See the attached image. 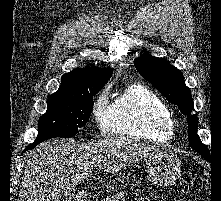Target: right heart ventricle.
Here are the masks:
<instances>
[{
  "label": "right heart ventricle",
  "mask_w": 221,
  "mask_h": 201,
  "mask_svg": "<svg viewBox=\"0 0 221 201\" xmlns=\"http://www.w3.org/2000/svg\"><path fill=\"white\" fill-rule=\"evenodd\" d=\"M110 131L114 135L153 142H168L171 132L162 128L172 120L164 101L151 89L133 84L117 95L111 104Z\"/></svg>",
  "instance_id": "e07e8e85"
}]
</instances>
